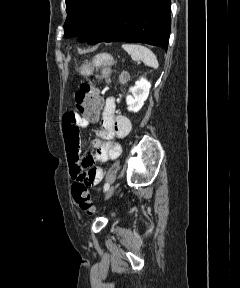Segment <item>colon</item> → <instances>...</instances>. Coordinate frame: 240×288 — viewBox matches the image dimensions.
<instances>
[{"label": "colon", "mask_w": 240, "mask_h": 288, "mask_svg": "<svg viewBox=\"0 0 240 288\" xmlns=\"http://www.w3.org/2000/svg\"><path fill=\"white\" fill-rule=\"evenodd\" d=\"M75 104L77 110L85 120L94 122L99 118L102 108V98L92 81L87 80L81 83L75 94ZM72 197L82 211L88 214L94 212L91 195L84 184L74 183L72 185Z\"/></svg>", "instance_id": "5ec220e1"}]
</instances>
